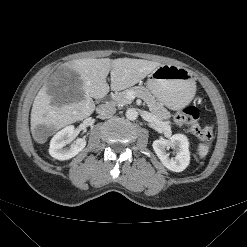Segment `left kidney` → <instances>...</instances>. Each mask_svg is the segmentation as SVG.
I'll return each instance as SVG.
<instances>
[{"instance_id":"obj_1","label":"left kidney","mask_w":247,"mask_h":247,"mask_svg":"<svg viewBox=\"0 0 247 247\" xmlns=\"http://www.w3.org/2000/svg\"><path fill=\"white\" fill-rule=\"evenodd\" d=\"M152 146L162 164L170 171L181 172L189 165V142L185 135L175 134L170 139H158ZM170 147L176 151L175 157H170L167 152Z\"/></svg>"}]
</instances>
